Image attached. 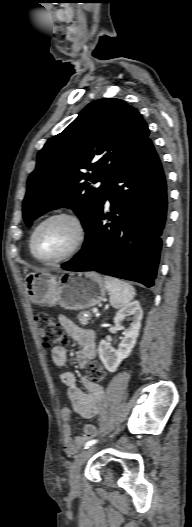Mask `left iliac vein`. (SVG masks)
I'll use <instances>...</instances> for the list:
<instances>
[{
  "mask_svg": "<svg viewBox=\"0 0 192 527\" xmlns=\"http://www.w3.org/2000/svg\"><path fill=\"white\" fill-rule=\"evenodd\" d=\"M95 450H96L95 447H90L86 450H83L76 456L73 462V465L71 467V470H70V479H69L70 486L73 491L77 492L80 490L81 488V479H80L81 467L92 456Z\"/></svg>",
  "mask_w": 192,
  "mask_h": 527,
  "instance_id": "obj_1",
  "label": "left iliac vein"
}]
</instances>
